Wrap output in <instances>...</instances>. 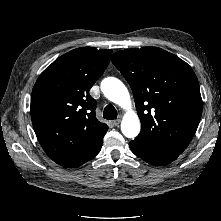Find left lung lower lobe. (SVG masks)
<instances>
[{"mask_svg":"<svg viewBox=\"0 0 221 221\" xmlns=\"http://www.w3.org/2000/svg\"><path fill=\"white\" fill-rule=\"evenodd\" d=\"M129 146L136 156L153 165L168 164L180 155V153L172 151L143 147L133 142H130Z\"/></svg>","mask_w":221,"mask_h":221,"instance_id":"0a47b994","label":"left lung lower lobe"}]
</instances>
